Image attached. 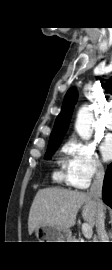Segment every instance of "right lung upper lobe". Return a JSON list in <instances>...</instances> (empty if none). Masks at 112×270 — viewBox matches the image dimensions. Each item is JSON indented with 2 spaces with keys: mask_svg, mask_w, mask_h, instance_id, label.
Masks as SVG:
<instances>
[{
  "mask_svg": "<svg viewBox=\"0 0 112 270\" xmlns=\"http://www.w3.org/2000/svg\"><path fill=\"white\" fill-rule=\"evenodd\" d=\"M105 89L112 94V78L106 84ZM76 100H77V91L76 88L73 87L69 89L65 95L61 112L56 118L55 125L50 136L49 144L61 142L64 134L68 129L72 110L76 103Z\"/></svg>",
  "mask_w": 112,
  "mask_h": 270,
  "instance_id": "obj_1",
  "label": "right lung upper lobe"
}]
</instances>
